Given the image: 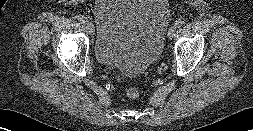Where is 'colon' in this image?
<instances>
[{"label":"colon","mask_w":253,"mask_h":131,"mask_svg":"<svg viewBox=\"0 0 253 131\" xmlns=\"http://www.w3.org/2000/svg\"><path fill=\"white\" fill-rule=\"evenodd\" d=\"M126 94L130 99H136L139 96V91L136 87L130 86L127 88Z\"/></svg>","instance_id":"colon-1"}]
</instances>
